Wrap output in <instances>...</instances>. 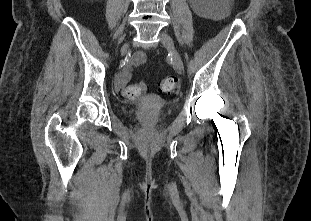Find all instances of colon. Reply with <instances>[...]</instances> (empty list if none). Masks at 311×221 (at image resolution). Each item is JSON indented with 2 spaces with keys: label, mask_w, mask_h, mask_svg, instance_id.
Listing matches in <instances>:
<instances>
[{
  "label": "colon",
  "mask_w": 311,
  "mask_h": 221,
  "mask_svg": "<svg viewBox=\"0 0 311 221\" xmlns=\"http://www.w3.org/2000/svg\"><path fill=\"white\" fill-rule=\"evenodd\" d=\"M179 88L178 80L173 76H167L161 80L159 83V90L166 94H173ZM146 90L144 84L126 86L123 90V96L125 98L138 97Z\"/></svg>",
  "instance_id": "5ec220e1"
}]
</instances>
